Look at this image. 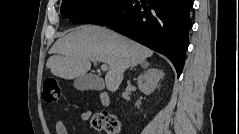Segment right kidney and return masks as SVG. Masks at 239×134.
Returning a JSON list of instances; mask_svg holds the SVG:
<instances>
[{"label":"right kidney","instance_id":"obj_1","mask_svg":"<svg viewBox=\"0 0 239 134\" xmlns=\"http://www.w3.org/2000/svg\"><path fill=\"white\" fill-rule=\"evenodd\" d=\"M163 77L164 72L162 70L150 68L138 76V88L145 95H150L156 89L158 82Z\"/></svg>","mask_w":239,"mask_h":134}]
</instances>
